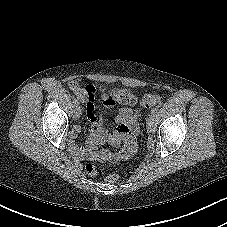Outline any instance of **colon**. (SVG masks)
Masks as SVG:
<instances>
[{"label":"colon","mask_w":227,"mask_h":227,"mask_svg":"<svg viewBox=\"0 0 227 227\" xmlns=\"http://www.w3.org/2000/svg\"><path fill=\"white\" fill-rule=\"evenodd\" d=\"M70 88L75 91L79 87L77 83L71 82ZM112 99L119 104H128L131 102V96L132 94L125 90V89H114L110 92ZM161 102V98L159 95L156 94H146L140 99V105L142 108L149 109ZM86 172L89 175H95L97 173V169L94 165L88 164L86 165ZM119 179V175L116 173L109 174L106 178V180L109 183H115Z\"/></svg>","instance_id":"obj_1"}]
</instances>
